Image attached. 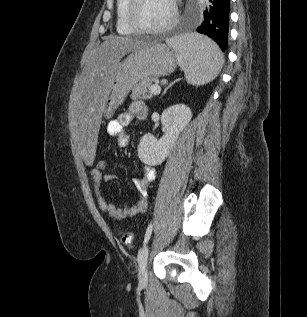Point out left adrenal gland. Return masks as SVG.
I'll return each instance as SVG.
<instances>
[{"label":"left adrenal gland","instance_id":"left-adrenal-gland-1","mask_svg":"<svg viewBox=\"0 0 307 317\" xmlns=\"http://www.w3.org/2000/svg\"><path fill=\"white\" fill-rule=\"evenodd\" d=\"M172 84H173V83H171L169 86H171ZM167 89H168V88L165 89L164 93L166 92Z\"/></svg>","mask_w":307,"mask_h":317}]
</instances>
